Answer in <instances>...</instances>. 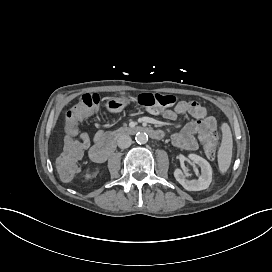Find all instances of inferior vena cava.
Returning a JSON list of instances; mask_svg holds the SVG:
<instances>
[{
  "label": "inferior vena cava",
  "instance_id": "602c4592",
  "mask_svg": "<svg viewBox=\"0 0 272 272\" xmlns=\"http://www.w3.org/2000/svg\"><path fill=\"white\" fill-rule=\"evenodd\" d=\"M132 143V139L128 135H121L118 138V146L120 148H128Z\"/></svg>",
  "mask_w": 272,
  "mask_h": 272
}]
</instances>
